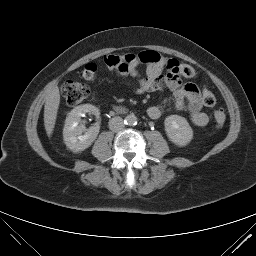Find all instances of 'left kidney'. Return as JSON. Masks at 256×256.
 <instances>
[{"label":"left kidney","mask_w":256,"mask_h":256,"mask_svg":"<svg viewBox=\"0 0 256 256\" xmlns=\"http://www.w3.org/2000/svg\"><path fill=\"white\" fill-rule=\"evenodd\" d=\"M165 131L174 144L185 146L193 138V130L184 117L170 115L164 121Z\"/></svg>","instance_id":"left-kidney-1"}]
</instances>
